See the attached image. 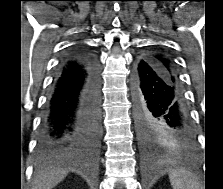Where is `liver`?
Instances as JSON below:
<instances>
[{
	"label": "liver",
	"instance_id": "6515ba94",
	"mask_svg": "<svg viewBox=\"0 0 223 189\" xmlns=\"http://www.w3.org/2000/svg\"><path fill=\"white\" fill-rule=\"evenodd\" d=\"M68 171L64 169H54L38 174L33 182L32 189H51L60 183Z\"/></svg>",
	"mask_w": 223,
	"mask_h": 189
}]
</instances>
